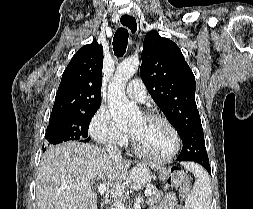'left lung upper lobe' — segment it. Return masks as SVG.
Wrapping results in <instances>:
<instances>
[{
  "instance_id": "obj_1",
  "label": "left lung upper lobe",
  "mask_w": 253,
  "mask_h": 209,
  "mask_svg": "<svg viewBox=\"0 0 253 209\" xmlns=\"http://www.w3.org/2000/svg\"><path fill=\"white\" fill-rule=\"evenodd\" d=\"M141 79L183 141L177 160L208 159L195 102V77L179 47L156 30L143 42Z\"/></svg>"
}]
</instances>
